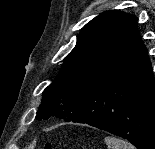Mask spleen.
I'll return each instance as SVG.
<instances>
[{"mask_svg":"<svg viewBox=\"0 0 155 149\" xmlns=\"http://www.w3.org/2000/svg\"><path fill=\"white\" fill-rule=\"evenodd\" d=\"M104 141L108 149H136L129 142L113 136H107Z\"/></svg>","mask_w":155,"mask_h":149,"instance_id":"1","label":"spleen"}]
</instances>
